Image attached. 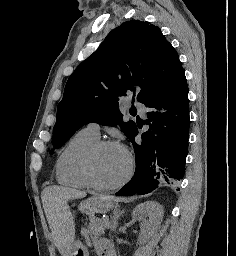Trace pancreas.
<instances>
[{
	"mask_svg": "<svg viewBox=\"0 0 236 256\" xmlns=\"http://www.w3.org/2000/svg\"><path fill=\"white\" fill-rule=\"evenodd\" d=\"M108 220L107 218H104V220H98V222H91L90 225H87V227H83L81 230L82 236H84V243L87 244V246H92V243H101L102 239L99 238V236H102V234H105L104 230H111L109 226H107ZM91 227H97V230L91 234Z\"/></svg>",
	"mask_w": 236,
	"mask_h": 256,
	"instance_id": "1",
	"label": "pancreas"
}]
</instances>
